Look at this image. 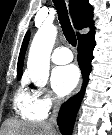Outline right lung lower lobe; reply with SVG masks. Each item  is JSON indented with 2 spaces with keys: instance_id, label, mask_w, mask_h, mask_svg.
Returning <instances> with one entry per match:
<instances>
[{
  "instance_id": "right-lung-lower-lobe-1",
  "label": "right lung lower lobe",
  "mask_w": 112,
  "mask_h": 135,
  "mask_svg": "<svg viewBox=\"0 0 112 135\" xmlns=\"http://www.w3.org/2000/svg\"><path fill=\"white\" fill-rule=\"evenodd\" d=\"M95 34L78 41V63L83 74L81 91L63 104L58 116V125L64 135L72 132L74 120L83 99L85 89L92 69L93 49L95 47Z\"/></svg>"
}]
</instances>
